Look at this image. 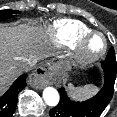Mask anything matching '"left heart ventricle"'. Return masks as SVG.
<instances>
[{"label":"left heart ventricle","instance_id":"left-heart-ventricle-1","mask_svg":"<svg viewBox=\"0 0 117 117\" xmlns=\"http://www.w3.org/2000/svg\"><path fill=\"white\" fill-rule=\"evenodd\" d=\"M103 42L100 37L91 38L86 44V51L89 54L98 52L102 48Z\"/></svg>","mask_w":117,"mask_h":117}]
</instances>
